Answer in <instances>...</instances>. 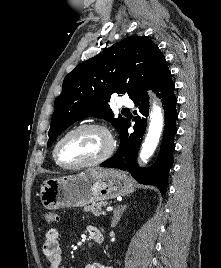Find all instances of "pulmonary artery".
<instances>
[{
	"instance_id": "pulmonary-artery-1",
	"label": "pulmonary artery",
	"mask_w": 221,
	"mask_h": 268,
	"mask_svg": "<svg viewBox=\"0 0 221 268\" xmlns=\"http://www.w3.org/2000/svg\"><path fill=\"white\" fill-rule=\"evenodd\" d=\"M120 105L124 107H133V102L129 98H122L120 101Z\"/></svg>"
}]
</instances>
